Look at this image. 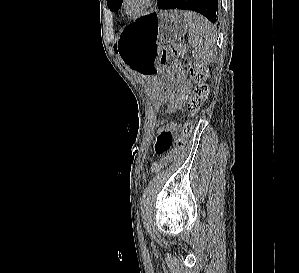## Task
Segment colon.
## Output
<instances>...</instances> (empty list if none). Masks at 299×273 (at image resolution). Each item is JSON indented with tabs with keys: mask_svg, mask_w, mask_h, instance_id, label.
Returning a JSON list of instances; mask_svg holds the SVG:
<instances>
[{
	"mask_svg": "<svg viewBox=\"0 0 299 273\" xmlns=\"http://www.w3.org/2000/svg\"><path fill=\"white\" fill-rule=\"evenodd\" d=\"M183 53V46L178 43L168 44L162 47L161 64H167L172 58L180 56ZM172 71L177 81L175 94L166 107V114L172 115L176 113L185 103H187L188 111L195 114L208 95V86L205 83L206 70L198 64L191 62L188 65L189 76L195 82V86L191 89L189 81L186 78L178 62L172 63ZM194 123L185 122L182 126L181 135L176 138L174 147L169 154L163 157L159 162L152 165V172L158 173L169 163L174 161L181 151L185 148L189 137L192 135Z\"/></svg>",
	"mask_w": 299,
	"mask_h": 273,
	"instance_id": "1",
	"label": "colon"
}]
</instances>
